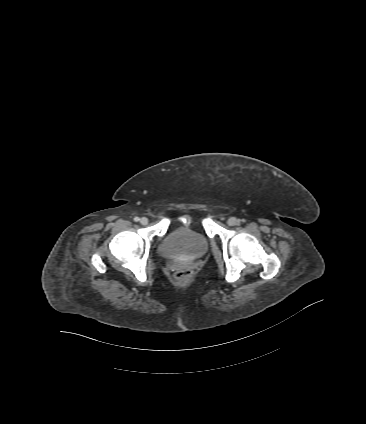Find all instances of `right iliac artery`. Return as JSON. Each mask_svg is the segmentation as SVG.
Listing matches in <instances>:
<instances>
[{"instance_id":"obj_1","label":"right iliac artery","mask_w":366,"mask_h":424,"mask_svg":"<svg viewBox=\"0 0 366 424\" xmlns=\"http://www.w3.org/2000/svg\"><path fill=\"white\" fill-rule=\"evenodd\" d=\"M139 220H140V219H139V217H135V218H134V221H135V222H138Z\"/></svg>"}]
</instances>
